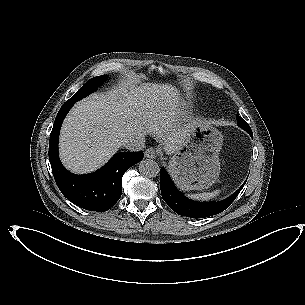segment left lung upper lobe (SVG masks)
Instances as JSON below:
<instances>
[{
  "label": "left lung upper lobe",
  "mask_w": 305,
  "mask_h": 305,
  "mask_svg": "<svg viewBox=\"0 0 305 305\" xmlns=\"http://www.w3.org/2000/svg\"><path fill=\"white\" fill-rule=\"evenodd\" d=\"M237 120H238V126H240L242 129H244L245 131L248 132V134H250L251 136H253L252 134V130L250 128V126L245 122V120H243L240 116L237 115ZM189 209H190V214L193 215L192 217L191 216H187V215H184L186 217H190V218H198L197 215L199 214L198 210H200V206H192V204H189L187 206Z\"/></svg>",
  "instance_id": "left-lung-upper-lobe-1"
}]
</instances>
